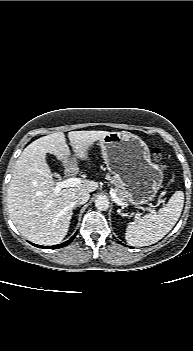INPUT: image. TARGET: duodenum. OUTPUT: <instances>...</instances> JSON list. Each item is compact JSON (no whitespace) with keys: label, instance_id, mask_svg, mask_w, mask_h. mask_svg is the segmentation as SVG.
<instances>
[{"label":"duodenum","instance_id":"410a0bca","mask_svg":"<svg viewBox=\"0 0 193 351\" xmlns=\"http://www.w3.org/2000/svg\"><path fill=\"white\" fill-rule=\"evenodd\" d=\"M67 173L70 174V175H76L78 172L75 168L71 167V166H68L67 167Z\"/></svg>","mask_w":193,"mask_h":351}]
</instances>
